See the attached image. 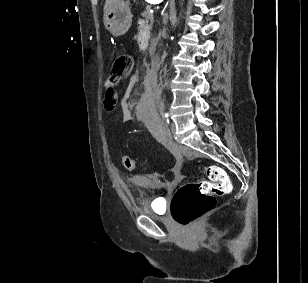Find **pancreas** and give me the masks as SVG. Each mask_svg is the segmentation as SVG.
<instances>
[{"label": "pancreas", "mask_w": 308, "mask_h": 283, "mask_svg": "<svg viewBox=\"0 0 308 283\" xmlns=\"http://www.w3.org/2000/svg\"><path fill=\"white\" fill-rule=\"evenodd\" d=\"M141 15L147 22H153L154 17L149 8H146V10Z\"/></svg>", "instance_id": "obj_1"}]
</instances>
